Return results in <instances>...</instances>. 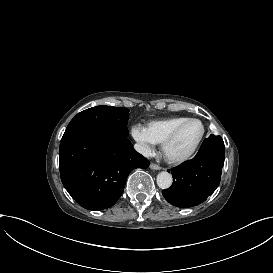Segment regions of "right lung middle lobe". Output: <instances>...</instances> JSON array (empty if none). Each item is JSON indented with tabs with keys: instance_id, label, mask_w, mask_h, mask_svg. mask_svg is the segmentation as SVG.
Listing matches in <instances>:
<instances>
[{
	"instance_id": "1",
	"label": "right lung middle lobe",
	"mask_w": 273,
	"mask_h": 273,
	"mask_svg": "<svg viewBox=\"0 0 273 273\" xmlns=\"http://www.w3.org/2000/svg\"><path fill=\"white\" fill-rule=\"evenodd\" d=\"M127 108L96 106L78 113L68 124L65 133L74 130H94L100 133L128 137Z\"/></svg>"
}]
</instances>
